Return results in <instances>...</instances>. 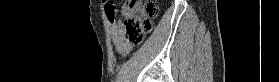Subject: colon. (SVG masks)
<instances>
[{
	"mask_svg": "<svg viewBox=\"0 0 279 82\" xmlns=\"http://www.w3.org/2000/svg\"><path fill=\"white\" fill-rule=\"evenodd\" d=\"M119 15L125 42L132 47L141 44L151 31L152 19L158 15V7L152 0H123Z\"/></svg>",
	"mask_w": 279,
	"mask_h": 82,
	"instance_id": "5ec220e1",
	"label": "colon"
}]
</instances>
